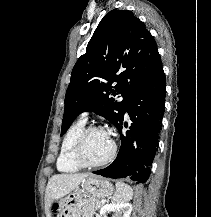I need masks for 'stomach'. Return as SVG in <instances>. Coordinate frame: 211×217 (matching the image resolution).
I'll return each instance as SVG.
<instances>
[{
	"instance_id": "stomach-1",
	"label": "stomach",
	"mask_w": 211,
	"mask_h": 217,
	"mask_svg": "<svg viewBox=\"0 0 211 217\" xmlns=\"http://www.w3.org/2000/svg\"><path fill=\"white\" fill-rule=\"evenodd\" d=\"M81 189L69 193L59 204L55 217H81L83 196L106 198L113 193V185L105 178L90 175L82 181Z\"/></svg>"
}]
</instances>
